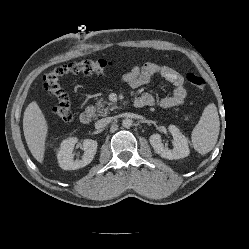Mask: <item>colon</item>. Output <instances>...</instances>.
<instances>
[{"mask_svg":"<svg viewBox=\"0 0 249 249\" xmlns=\"http://www.w3.org/2000/svg\"><path fill=\"white\" fill-rule=\"evenodd\" d=\"M114 63L104 59H87L71 62L50 70L44 77V87L55 99L56 104L52 109L53 116L60 121L68 122L73 117V105L69 95L60 84V80L68 75H101L111 68ZM187 81L194 87L203 90L206 87L205 80L194 74L188 73Z\"/></svg>","mask_w":249,"mask_h":249,"instance_id":"colon-1","label":"colon"}]
</instances>
